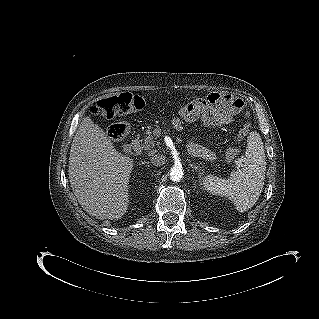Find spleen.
<instances>
[{"mask_svg":"<svg viewBox=\"0 0 319 319\" xmlns=\"http://www.w3.org/2000/svg\"><path fill=\"white\" fill-rule=\"evenodd\" d=\"M247 142L243 163L240 168L231 172L228 179L209 175L203 180L208 192L229 198L241 212L251 208L258 200L266 172L265 152L260 135L250 132Z\"/></svg>","mask_w":319,"mask_h":319,"instance_id":"obj_1","label":"spleen"}]
</instances>
